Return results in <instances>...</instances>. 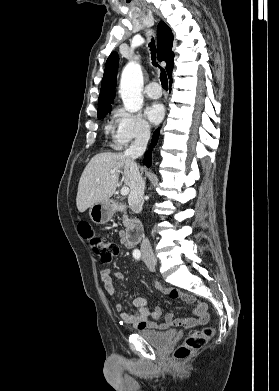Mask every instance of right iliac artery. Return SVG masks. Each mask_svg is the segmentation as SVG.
Listing matches in <instances>:
<instances>
[{
	"mask_svg": "<svg viewBox=\"0 0 279 391\" xmlns=\"http://www.w3.org/2000/svg\"><path fill=\"white\" fill-rule=\"evenodd\" d=\"M133 257H134L135 259L139 260L140 257H141V252H140L138 249H135V250L133 251Z\"/></svg>",
	"mask_w": 279,
	"mask_h": 391,
	"instance_id": "1",
	"label": "right iliac artery"
}]
</instances>
